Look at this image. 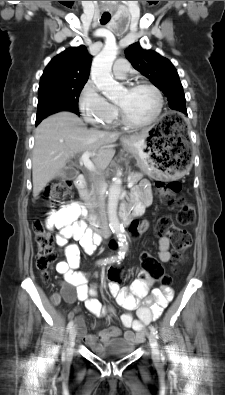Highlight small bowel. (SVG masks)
<instances>
[{"mask_svg":"<svg viewBox=\"0 0 225 395\" xmlns=\"http://www.w3.org/2000/svg\"><path fill=\"white\" fill-rule=\"evenodd\" d=\"M151 202L150 183L142 181L134 188L129 207L137 210L139 215ZM83 214L84 210L80 204L71 203L59 211L51 212L46 218V225L49 229L58 230L56 243L65 256V260L57 263L56 271L63 275L68 285L76 288L75 295L70 288L66 287L64 289L65 299L68 302H73L77 297L84 302L86 309L91 314L102 317L107 311L95 297L96 287L88 285L87 276L77 271L80 265L79 248L76 244L70 243L71 239L78 241L88 254L94 253L100 243V238L93 234L82 220H79V217ZM148 226V222L143 221L139 225V230L145 231ZM158 259L161 263H167L171 259L170 241L166 236L159 239ZM152 276L142 269L138 273V278L129 287L121 288L118 286V288H115L113 283L108 285L109 291L115 297L117 303L127 311L120 316V321L123 326L132 329L124 332L123 337L133 344H139L144 340L146 326L158 318L173 297L171 288H164V286L152 288L155 283ZM142 299H145V304L141 303ZM131 311H136V319ZM73 316L74 313H70V317ZM76 324L80 339L89 346H95L97 340L106 343L111 338L121 335V331L117 327L101 330L97 336L88 334L85 331V321L82 316L76 318Z\"/></svg>","mask_w":225,"mask_h":395,"instance_id":"obj_1","label":"small bowel"}]
</instances>
